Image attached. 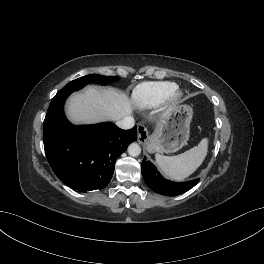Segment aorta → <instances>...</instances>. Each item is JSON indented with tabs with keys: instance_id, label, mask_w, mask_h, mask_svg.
I'll return each mask as SVG.
<instances>
[{
	"instance_id": "1",
	"label": "aorta",
	"mask_w": 264,
	"mask_h": 264,
	"mask_svg": "<svg viewBox=\"0 0 264 264\" xmlns=\"http://www.w3.org/2000/svg\"><path fill=\"white\" fill-rule=\"evenodd\" d=\"M128 153L133 157L139 156L141 153V147L137 143H131L128 147Z\"/></svg>"
}]
</instances>
